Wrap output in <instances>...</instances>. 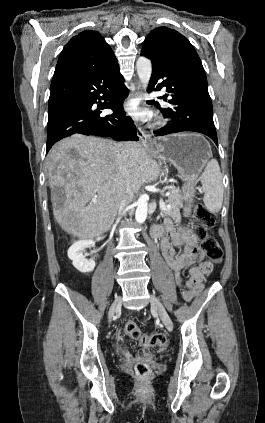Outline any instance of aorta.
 <instances>
[{"label": "aorta", "mask_w": 265, "mask_h": 423, "mask_svg": "<svg viewBox=\"0 0 265 423\" xmlns=\"http://www.w3.org/2000/svg\"><path fill=\"white\" fill-rule=\"evenodd\" d=\"M136 69L139 80L142 84L144 90L147 89L148 83L150 81L151 73H152V64L151 61L146 57H139L136 62ZM137 208L135 211V220L137 223H144L147 218L148 212V202L147 196L141 195L136 202Z\"/></svg>", "instance_id": "1"}]
</instances>
